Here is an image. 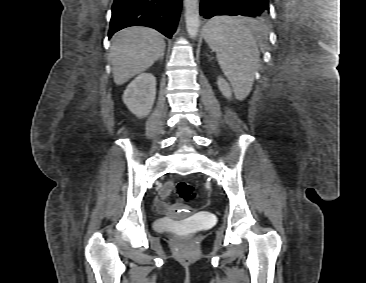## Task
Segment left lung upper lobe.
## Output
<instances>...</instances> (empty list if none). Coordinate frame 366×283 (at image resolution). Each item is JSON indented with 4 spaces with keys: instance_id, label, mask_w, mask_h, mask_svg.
<instances>
[{
    "instance_id": "obj_1",
    "label": "left lung upper lobe",
    "mask_w": 366,
    "mask_h": 283,
    "mask_svg": "<svg viewBox=\"0 0 366 283\" xmlns=\"http://www.w3.org/2000/svg\"><path fill=\"white\" fill-rule=\"evenodd\" d=\"M264 2V4L267 6V12H265L264 14L260 15V18H267L269 16V0H261ZM258 18V17H255Z\"/></svg>"
}]
</instances>
